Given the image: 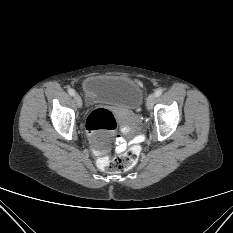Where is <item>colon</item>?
Returning <instances> with one entry per match:
<instances>
[{
	"mask_svg": "<svg viewBox=\"0 0 233 233\" xmlns=\"http://www.w3.org/2000/svg\"><path fill=\"white\" fill-rule=\"evenodd\" d=\"M117 122L114 114L107 109H96L92 111L86 120V129L90 134L104 131L111 133L116 129ZM140 148L134 146L122 155L110 160L97 154L98 166L109 173H120L131 169L137 162Z\"/></svg>",
	"mask_w": 233,
	"mask_h": 233,
	"instance_id": "colon-1",
	"label": "colon"
}]
</instances>
